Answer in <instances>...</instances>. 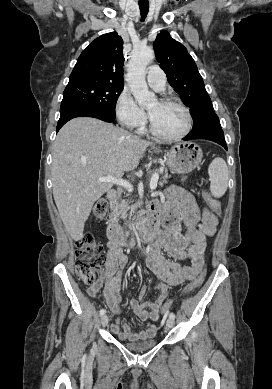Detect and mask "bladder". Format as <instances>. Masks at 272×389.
<instances>
[{
  "label": "bladder",
  "mask_w": 272,
  "mask_h": 389,
  "mask_svg": "<svg viewBox=\"0 0 272 389\" xmlns=\"http://www.w3.org/2000/svg\"><path fill=\"white\" fill-rule=\"evenodd\" d=\"M156 340H147L142 342L125 341L124 347L133 352H144L156 346Z\"/></svg>",
  "instance_id": "bladder-1"
}]
</instances>
